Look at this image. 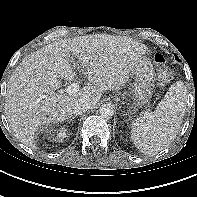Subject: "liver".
<instances>
[{
  "label": "liver",
  "mask_w": 197,
  "mask_h": 197,
  "mask_svg": "<svg viewBox=\"0 0 197 197\" xmlns=\"http://www.w3.org/2000/svg\"><path fill=\"white\" fill-rule=\"evenodd\" d=\"M148 51L129 37L95 34L56 41L28 55L10 77L5 97V116L15 137L36 148L35 135L41 126L72 117V106L80 98L94 107L105 90H119ZM70 53L93 84L72 95L56 92L59 79L75 78ZM85 57L89 59L84 62Z\"/></svg>",
  "instance_id": "obj_1"
}]
</instances>
